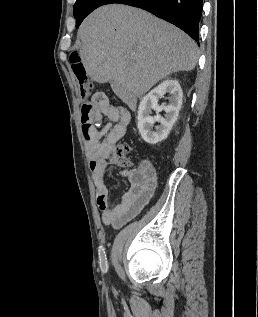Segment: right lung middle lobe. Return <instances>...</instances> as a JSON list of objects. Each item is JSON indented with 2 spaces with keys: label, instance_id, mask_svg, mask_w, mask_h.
I'll return each mask as SVG.
<instances>
[{
  "label": "right lung middle lobe",
  "instance_id": "dd1d6c3e",
  "mask_svg": "<svg viewBox=\"0 0 258 317\" xmlns=\"http://www.w3.org/2000/svg\"><path fill=\"white\" fill-rule=\"evenodd\" d=\"M86 0H76V3L74 4L73 14L74 17L78 14L79 10L83 6Z\"/></svg>",
  "mask_w": 258,
  "mask_h": 317
}]
</instances>
